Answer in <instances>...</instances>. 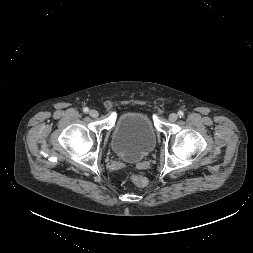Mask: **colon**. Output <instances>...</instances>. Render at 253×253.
Here are the masks:
<instances>
[{"instance_id":"1","label":"colon","mask_w":253,"mask_h":253,"mask_svg":"<svg viewBox=\"0 0 253 253\" xmlns=\"http://www.w3.org/2000/svg\"><path fill=\"white\" fill-rule=\"evenodd\" d=\"M131 180L133 181V183L135 185H137L138 187H145L147 185V180L146 178H144L141 175H137V174H132L130 176Z\"/></svg>"}]
</instances>
